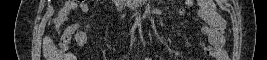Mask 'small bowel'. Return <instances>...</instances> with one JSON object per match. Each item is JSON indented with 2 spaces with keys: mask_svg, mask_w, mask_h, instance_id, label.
I'll return each instance as SVG.
<instances>
[{
  "mask_svg": "<svg viewBox=\"0 0 267 60\" xmlns=\"http://www.w3.org/2000/svg\"><path fill=\"white\" fill-rule=\"evenodd\" d=\"M192 1H185L186 4ZM95 1H86L85 3L77 4L76 2H67L61 9L60 18L54 23L55 27H59L64 20L67 19L69 14L80 8L82 12H87ZM199 18L203 21V26L200 28V32L204 39L199 40L198 45L202 52L215 60H226L227 54L223 48L224 29L226 26L225 20L216 12L215 2L212 0H200L198 1ZM90 30L89 25L81 27L80 23H74L69 25L63 32L60 38V45L66 50L72 40L82 47L87 43V34ZM146 60H149L146 59Z\"/></svg>",
  "mask_w": 267,
  "mask_h": 60,
  "instance_id": "obj_1",
  "label": "small bowel"
}]
</instances>
